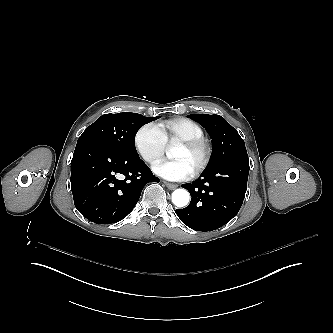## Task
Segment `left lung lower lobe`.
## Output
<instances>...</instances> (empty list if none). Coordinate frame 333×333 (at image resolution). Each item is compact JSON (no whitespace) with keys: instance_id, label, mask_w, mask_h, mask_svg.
<instances>
[{"instance_id":"0a47b994","label":"left lung lower lobe","mask_w":333,"mask_h":333,"mask_svg":"<svg viewBox=\"0 0 333 333\" xmlns=\"http://www.w3.org/2000/svg\"><path fill=\"white\" fill-rule=\"evenodd\" d=\"M249 169L248 157L233 158L192 183L183 184L191 202L176 210L179 219L199 231H212L228 223L242 206Z\"/></svg>"}]
</instances>
